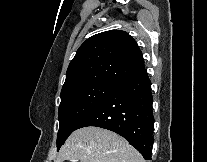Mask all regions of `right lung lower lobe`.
Returning a JSON list of instances; mask_svg holds the SVG:
<instances>
[{"label": "right lung lower lobe", "mask_w": 207, "mask_h": 162, "mask_svg": "<svg viewBox=\"0 0 207 162\" xmlns=\"http://www.w3.org/2000/svg\"><path fill=\"white\" fill-rule=\"evenodd\" d=\"M152 102L151 82L142 69L117 84L76 129L96 126L111 130L127 139L145 160H151Z\"/></svg>", "instance_id": "obj_1"}]
</instances>
